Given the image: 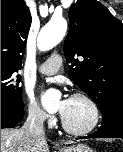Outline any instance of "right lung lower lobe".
<instances>
[{
	"label": "right lung lower lobe",
	"instance_id": "1",
	"mask_svg": "<svg viewBox=\"0 0 123 152\" xmlns=\"http://www.w3.org/2000/svg\"><path fill=\"white\" fill-rule=\"evenodd\" d=\"M24 116L23 109L1 105V128L14 127Z\"/></svg>",
	"mask_w": 123,
	"mask_h": 152
}]
</instances>
